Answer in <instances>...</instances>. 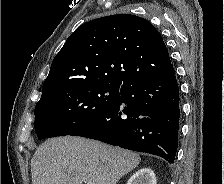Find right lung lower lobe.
<instances>
[{
    "label": "right lung lower lobe",
    "instance_id": "98d812e1",
    "mask_svg": "<svg viewBox=\"0 0 224 184\" xmlns=\"http://www.w3.org/2000/svg\"><path fill=\"white\" fill-rule=\"evenodd\" d=\"M180 95L175 70L123 85L103 113L69 135L99 140L173 163L178 147Z\"/></svg>",
    "mask_w": 224,
    "mask_h": 184
}]
</instances>
